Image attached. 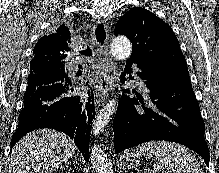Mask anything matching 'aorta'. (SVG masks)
Instances as JSON below:
<instances>
[{"label":"aorta","mask_w":219,"mask_h":173,"mask_svg":"<svg viewBox=\"0 0 219 173\" xmlns=\"http://www.w3.org/2000/svg\"><path fill=\"white\" fill-rule=\"evenodd\" d=\"M131 52V42L125 36H118L111 43V54L117 60H127L131 56ZM117 107L118 100L112 99L99 111L93 121L91 134L96 137L103 132L109 120L116 112ZM90 160L96 173H114L111 160L108 158L104 150L96 144L91 146Z\"/></svg>","instance_id":"obj_1"}]
</instances>
